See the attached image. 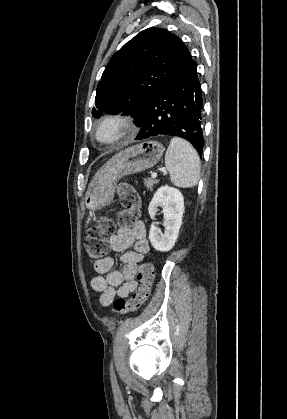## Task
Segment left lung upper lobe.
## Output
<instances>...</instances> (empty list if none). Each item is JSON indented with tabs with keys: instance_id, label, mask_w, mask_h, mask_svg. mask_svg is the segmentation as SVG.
I'll list each match as a JSON object with an SVG mask.
<instances>
[{
	"instance_id": "obj_1",
	"label": "left lung upper lobe",
	"mask_w": 287,
	"mask_h": 419,
	"mask_svg": "<svg viewBox=\"0 0 287 419\" xmlns=\"http://www.w3.org/2000/svg\"><path fill=\"white\" fill-rule=\"evenodd\" d=\"M194 62L170 32H140L111 57L97 86L92 115H131L139 125L149 100Z\"/></svg>"
}]
</instances>
